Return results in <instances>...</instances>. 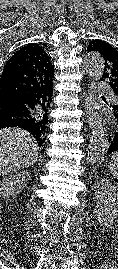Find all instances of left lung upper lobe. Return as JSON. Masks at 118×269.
Segmentation results:
<instances>
[{
  "label": "left lung upper lobe",
  "mask_w": 118,
  "mask_h": 269,
  "mask_svg": "<svg viewBox=\"0 0 118 269\" xmlns=\"http://www.w3.org/2000/svg\"><path fill=\"white\" fill-rule=\"evenodd\" d=\"M87 51L99 53L105 60V71L103 77L109 79V84L113 89L118 101V51L110 44L102 40H92ZM118 104L114 105L117 106Z\"/></svg>",
  "instance_id": "1"
}]
</instances>
